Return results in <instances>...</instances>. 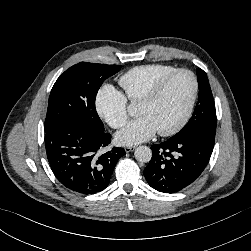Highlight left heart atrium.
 Listing matches in <instances>:
<instances>
[{
  "label": "left heart atrium",
  "mask_w": 251,
  "mask_h": 251,
  "mask_svg": "<svg viewBox=\"0 0 251 251\" xmlns=\"http://www.w3.org/2000/svg\"><path fill=\"white\" fill-rule=\"evenodd\" d=\"M157 132L155 126L147 116H140L130 121L127 126L116 135V141L123 146H132L152 138Z\"/></svg>",
  "instance_id": "obj_1"
}]
</instances>
